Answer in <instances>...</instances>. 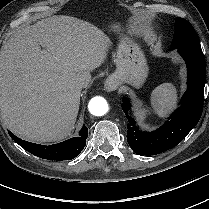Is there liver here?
<instances>
[{"mask_svg": "<svg viewBox=\"0 0 209 209\" xmlns=\"http://www.w3.org/2000/svg\"><path fill=\"white\" fill-rule=\"evenodd\" d=\"M109 47L102 30L69 16L17 29L0 53V107L7 127L35 142L70 136L80 105L75 85L88 86L90 72L102 65Z\"/></svg>", "mask_w": 209, "mask_h": 209, "instance_id": "6515ba94", "label": "liver"}]
</instances>
